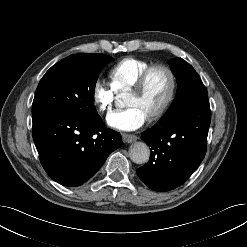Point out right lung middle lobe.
<instances>
[{
  "label": "right lung middle lobe",
  "mask_w": 247,
  "mask_h": 247,
  "mask_svg": "<svg viewBox=\"0 0 247 247\" xmlns=\"http://www.w3.org/2000/svg\"><path fill=\"white\" fill-rule=\"evenodd\" d=\"M112 60L103 54L79 53L52 66L41 79L32 104V117L71 110L83 117L97 116L95 85L100 71Z\"/></svg>",
  "instance_id": "1"
}]
</instances>
